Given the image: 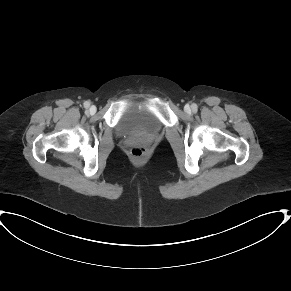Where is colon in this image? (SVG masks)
<instances>
[{"instance_id": "colon-1", "label": "colon", "mask_w": 291, "mask_h": 291, "mask_svg": "<svg viewBox=\"0 0 291 291\" xmlns=\"http://www.w3.org/2000/svg\"><path fill=\"white\" fill-rule=\"evenodd\" d=\"M131 157L136 161H143L148 155V149L144 145H135L130 150Z\"/></svg>"}]
</instances>
